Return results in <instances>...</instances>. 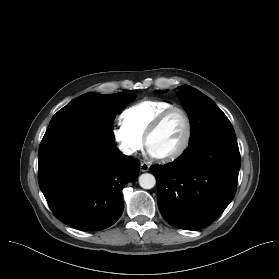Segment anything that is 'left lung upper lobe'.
Returning a JSON list of instances; mask_svg holds the SVG:
<instances>
[{"mask_svg": "<svg viewBox=\"0 0 279 279\" xmlns=\"http://www.w3.org/2000/svg\"><path fill=\"white\" fill-rule=\"evenodd\" d=\"M190 119L189 144L214 134H233L234 129L226 115L206 95L197 89L183 85L177 92Z\"/></svg>", "mask_w": 279, "mask_h": 279, "instance_id": "left-lung-upper-lobe-1", "label": "left lung upper lobe"}]
</instances>
